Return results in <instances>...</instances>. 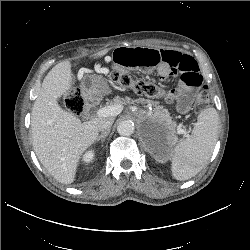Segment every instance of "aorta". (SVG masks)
<instances>
[{
	"instance_id": "1",
	"label": "aorta",
	"mask_w": 250,
	"mask_h": 250,
	"mask_svg": "<svg viewBox=\"0 0 250 250\" xmlns=\"http://www.w3.org/2000/svg\"><path fill=\"white\" fill-rule=\"evenodd\" d=\"M134 124L129 120L121 121L117 126V131L122 136H130L134 133Z\"/></svg>"
}]
</instances>
